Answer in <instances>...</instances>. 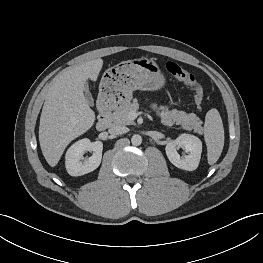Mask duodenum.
<instances>
[{
    "instance_id": "obj_1",
    "label": "duodenum",
    "mask_w": 263,
    "mask_h": 263,
    "mask_svg": "<svg viewBox=\"0 0 263 263\" xmlns=\"http://www.w3.org/2000/svg\"><path fill=\"white\" fill-rule=\"evenodd\" d=\"M110 123V108L107 103L102 101L99 104V118L96 123V129L98 131H105Z\"/></svg>"
}]
</instances>
